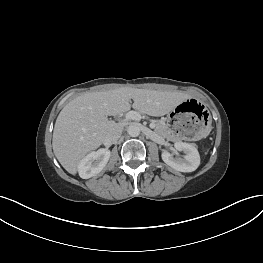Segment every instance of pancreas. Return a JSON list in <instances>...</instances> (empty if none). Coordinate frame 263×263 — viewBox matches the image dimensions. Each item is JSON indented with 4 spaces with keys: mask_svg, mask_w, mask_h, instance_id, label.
Wrapping results in <instances>:
<instances>
[{
    "mask_svg": "<svg viewBox=\"0 0 263 263\" xmlns=\"http://www.w3.org/2000/svg\"><path fill=\"white\" fill-rule=\"evenodd\" d=\"M154 124H155L154 131H155L158 135H160V136H162V137H164V138H166V139H173L172 131H171V129L168 127L167 124H165V123L162 122V121H155Z\"/></svg>",
    "mask_w": 263,
    "mask_h": 263,
    "instance_id": "obj_1",
    "label": "pancreas"
}]
</instances>
